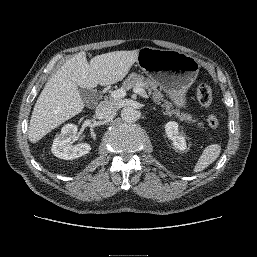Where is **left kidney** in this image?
<instances>
[{
    "label": "left kidney",
    "mask_w": 257,
    "mask_h": 257,
    "mask_svg": "<svg viewBox=\"0 0 257 257\" xmlns=\"http://www.w3.org/2000/svg\"><path fill=\"white\" fill-rule=\"evenodd\" d=\"M165 132L168 138L172 141L173 146L181 151L186 149V141L183 134L179 132L178 124L170 121L165 125Z\"/></svg>",
    "instance_id": "1"
}]
</instances>
